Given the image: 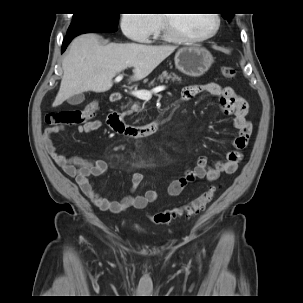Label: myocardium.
Returning <instances> with one entry per match:
<instances>
[{"instance_id": "f54148a6", "label": "myocardium", "mask_w": 303, "mask_h": 303, "mask_svg": "<svg viewBox=\"0 0 303 303\" xmlns=\"http://www.w3.org/2000/svg\"><path fill=\"white\" fill-rule=\"evenodd\" d=\"M215 20L214 27L206 34L201 36H188L179 31H177L172 25V16L170 14H163V26L164 34L171 40L181 42V43H196L202 42L212 38L220 28L221 18L217 13L212 14Z\"/></svg>"}]
</instances>
